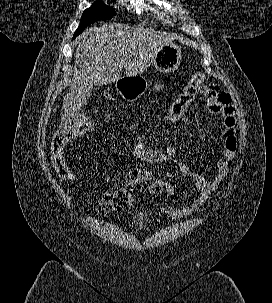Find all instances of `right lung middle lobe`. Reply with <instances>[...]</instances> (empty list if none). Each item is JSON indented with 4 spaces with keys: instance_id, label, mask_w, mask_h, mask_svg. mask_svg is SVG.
<instances>
[{
    "instance_id": "1",
    "label": "right lung middle lobe",
    "mask_w": 272,
    "mask_h": 303,
    "mask_svg": "<svg viewBox=\"0 0 272 303\" xmlns=\"http://www.w3.org/2000/svg\"><path fill=\"white\" fill-rule=\"evenodd\" d=\"M115 14V10L110 9L102 1L95 2L90 8L83 12L80 25L74 33L73 38L82 33V31L92 22L111 19Z\"/></svg>"
}]
</instances>
